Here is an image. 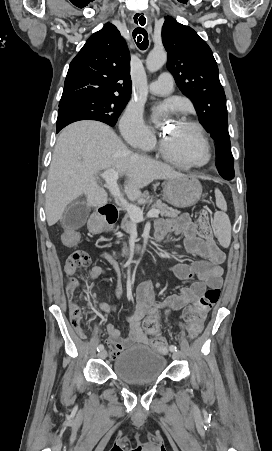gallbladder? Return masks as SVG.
I'll list each match as a JSON object with an SVG mask.
<instances>
[{
  "label": "gallbladder",
  "mask_w": 272,
  "mask_h": 451,
  "mask_svg": "<svg viewBox=\"0 0 272 451\" xmlns=\"http://www.w3.org/2000/svg\"><path fill=\"white\" fill-rule=\"evenodd\" d=\"M90 212L91 208L86 202H72L66 208L61 224L68 229H78L86 224Z\"/></svg>",
  "instance_id": "obj_1"
}]
</instances>
